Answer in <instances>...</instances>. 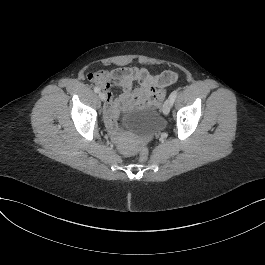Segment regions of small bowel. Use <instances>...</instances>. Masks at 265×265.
I'll list each match as a JSON object with an SVG mask.
<instances>
[{"instance_id":"1","label":"small bowel","mask_w":265,"mask_h":265,"mask_svg":"<svg viewBox=\"0 0 265 265\" xmlns=\"http://www.w3.org/2000/svg\"><path fill=\"white\" fill-rule=\"evenodd\" d=\"M108 61L118 67L101 71L98 77L90 75V79L106 96L103 114L111 130L115 129L116 119L123 109L159 104L165 97L166 87L173 84L178 76L173 71L152 75L146 68L128 66V61L124 58ZM114 86L123 91L118 97L114 96Z\"/></svg>"}]
</instances>
